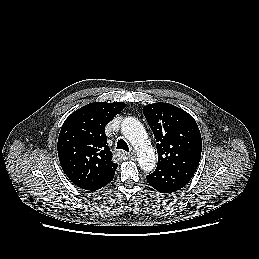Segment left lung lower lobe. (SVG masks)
<instances>
[{
  "label": "left lung lower lobe",
  "mask_w": 259,
  "mask_h": 259,
  "mask_svg": "<svg viewBox=\"0 0 259 259\" xmlns=\"http://www.w3.org/2000/svg\"><path fill=\"white\" fill-rule=\"evenodd\" d=\"M146 179L150 186L161 193L175 192L189 182L183 176L166 169H156Z\"/></svg>",
  "instance_id": "left-lung-lower-lobe-1"
}]
</instances>
